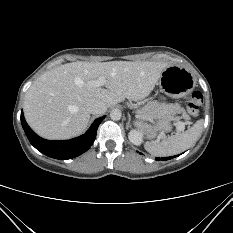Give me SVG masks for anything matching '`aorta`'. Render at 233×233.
Masks as SVG:
<instances>
[{"label":"aorta","mask_w":233,"mask_h":233,"mask_svg":"<svg viewBox=\"0 0 233 233\" xmlns=\"http://www.w3.org/2000/svg\"><path fill=\"white\" fill-rule=\"evenodd\" d=\"M110 117L112 120L114 121H118L121 119L122 117V113L119 109H113L111 112H110Z\"/></svg>","instance_id":"obj_1"}]
</instances>
